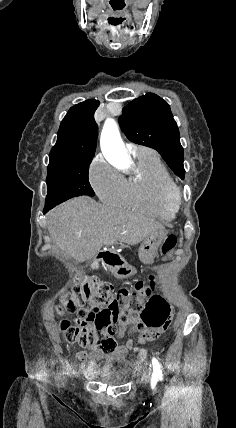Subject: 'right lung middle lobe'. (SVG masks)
Segmentation results:
<instances>
[{
	"label": "right lung middle lobe",
	"instance_id": "obj_1",
	"mask_svg": "<svg viewBox=\"0 0 236 428\" xmlns=\"http://www.w3.org/2000/svg\"><path fill=\"white\" fill-rule=\"evenodd\" d=\"M91 161L92 159L50 160L45 206H56L80 195L93 196L94 191L88 180Z\"/></svg>",
	"mask_w": 236,
	"mask_h": 428
}]
</instances>
